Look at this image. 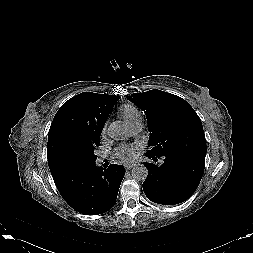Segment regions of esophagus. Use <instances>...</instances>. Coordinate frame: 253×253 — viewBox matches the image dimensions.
<instances>
[{"mask_svg":"<svg viewBox=\"0 0 253 253\" xmlns=\"http://www.w3.org/2000/svg\"><path fill=\"white\" fill-rule=\"evenodd\" d=\"M133 164H131V163H126L125 165H124V167H125V169L128 171V170H131L132 168H133Z\"/></svg>","mask_w":253,"mask_h":253,"instance_id":"1","label":"esophagus"}]
</instances>
